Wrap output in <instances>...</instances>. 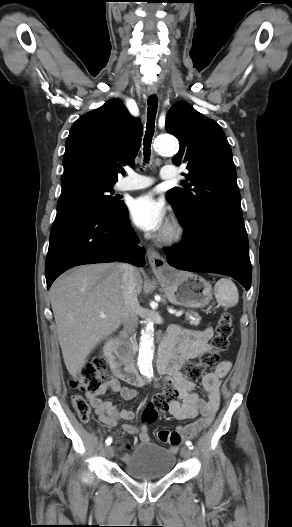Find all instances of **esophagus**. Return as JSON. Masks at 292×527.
Listing matches in <instances>:
<instances>
[{"label": "esophagus", "mask_w": 292, "mask_h": 527, "mask_svg": "<svg viewBox=\"0 0 292 527\" xmlns=\"http://www.w3.org/2000/svg\"><path fill=\"white\" fill-rule=\"evenodd\" d=\"M154 94H156L155 90L147 91L148 96H152ZM147 256L150 267L154 272H162L167 267L165 259L156 250L149 248L147 251Z\"/></svg>", "instance_id": "obj_1"}]
</instances>
